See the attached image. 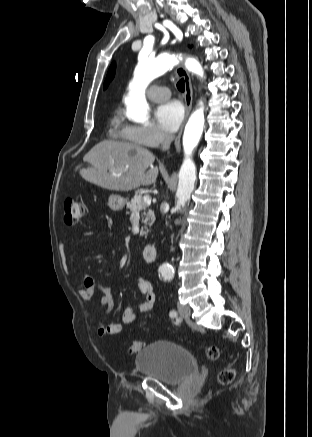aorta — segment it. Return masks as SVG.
Returning <instances> with one entry per match:
<instances>
[{"instance_id":"1","label":"aorta","mask_w":312,"mask_h":437,"mask_svg":"<svg viewBox=\"0 0 312 437\" xmlns=\"http://www.w3.org/2000/svg\"><path fill=\"white\" fill-rule=\"evenodd\" d=\"M178 63L174 55L162 54L155 59H140L135 69L134 79L129 86V94L125 99L126 115L137 123L148 122V103L145 98V90L149 83L172 69ZM186 68L203 76V69L198 61L189 58L185 62ZM204 127L203 107H200L190 116L183 134V149L185 158L179 171V182L176 192V210H181L194 189L196 180V167L191 159L194 148L198 145ZM178 223V222H177ZM162 275L171 274L173 267L169 263H163L159 267Z\"/></svg>"}]
</instances>
